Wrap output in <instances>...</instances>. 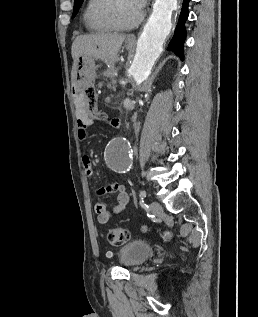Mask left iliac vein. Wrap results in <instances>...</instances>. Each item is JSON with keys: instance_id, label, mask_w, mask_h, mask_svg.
Masks as SVG:
<instances>
[{"instance_id": "obj_1", "label": "left iliac vein", "mask_w": 258, "mask_h": 317, "mask_svg": "<svg viewBox=\"0 0 258 317\" xmlns=\"http://www.w3.org/2000/svg\"><path fill=\"white\" fill-rule=\"evenodd\" d=\"M150 209L152 210L154 215H159L164 210L161 204L157 201H152V203L150 204Z\"/></svg>"}]
</instances>
